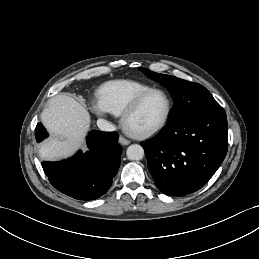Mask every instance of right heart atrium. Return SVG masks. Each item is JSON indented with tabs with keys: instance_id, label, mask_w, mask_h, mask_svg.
Instances as JSON below:
<instances>
[{
	"instance_id": "d8ad5b80",
	"label": "right heart atrium",
	"mask_w": 259,
	"mask_h": 259,
	"mask_svg": "<svg viewBox=\"0 0 259 259\" xmlns=\"http://www.w3.org/2000/svg\"><path fill=\"white\" fill-rule=\"evenodd\" d=\"M91 107L94 113L99 116H105L108 113V111L105 109L99 99L93 100L91 103Z\"/></svg>"
}]
</instances>
